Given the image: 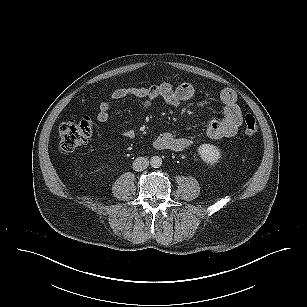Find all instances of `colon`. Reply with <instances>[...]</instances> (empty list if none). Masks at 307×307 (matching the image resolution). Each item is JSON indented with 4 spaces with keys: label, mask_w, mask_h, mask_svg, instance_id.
Returning <instances> with one entry per match:
<instances>
[{
    "label": "colon",
    "mask_w": 307,
    "mask_h": 307,
    "mask_svg": "<svg viewBox=\"0 0 307 307\" xmlns=\"http://www.w3.org/2000/svg\"><path fill=\"white\" fill-rule=\"evenodd\" d=\"M93 129L92 121L88 118H74L64 122L59 130V149L63 153H69L77 147L85 144L91 137ZM258 131V125L253 115L244 117V132L248 136H254Z\"/></svg>",
    "instance_id": "colon-1"
}]
</instances>
